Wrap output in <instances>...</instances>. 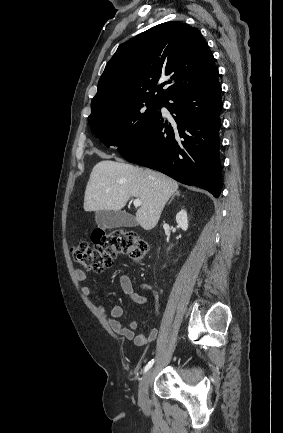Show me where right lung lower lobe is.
<instances>
[{
	"instance_id": "98d812e1",
	"label": "right lung lower lobe",
	"mask_w": 283,
	"mask_h": 433,
	"mask_svg": "<svg viewBox=\"0 0 283 433\" xmlns=\"http://www.w3.org/2000/svg\"><path fill=\"white\" fill-rule=\"evenodd\" d=\"M218 76L166 99L162 106L173 120H164L158 111L139 138L120 154L129 162L201 187L217 198L222 184L218 135L222 101Z\"/></svg>"
}]
</instances>
